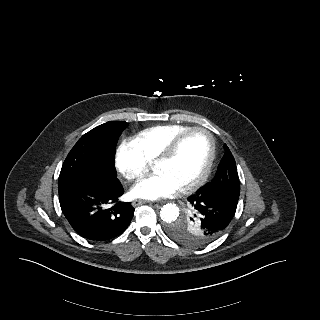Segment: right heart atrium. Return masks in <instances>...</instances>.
I'll list each match as a JSON object with an SVG mask.
<instances>
[{
  "instance_id": "obj_1",
  "label": "right heart atrium",
  "mask_w": 320,
  "mask_h": 320,
  "mask_svg": "<svg viewBox=\"0 0 320 320\" xmlns=\"http://www.w3.org/2000/svg\"><path fill=\"white\" fill-rule=\"evenodd\" d=\"M116 166L128 180H136L146 171L147 161L134 140L125 139L121 142L116 153Z\"/></svg>"
}]
</instances>
